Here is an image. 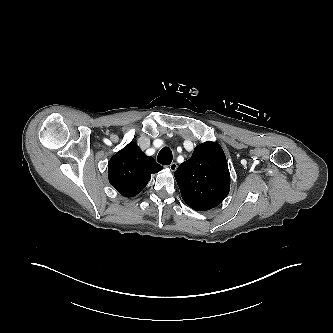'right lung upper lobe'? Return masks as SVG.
I'll return each instance as SVG.
<instances>
[{"mask_svg":"<svg viewBox=\"0 0 333 333\" xmlns=\"http://www.w3.org/2000/svg\"><path fill=\"white\" fill-rule=\"evenodd\" d=\"M162 169L135 142H130L110 159L109 182L123 196L133 197L145 188L152 173Z\"/></svg>","mask_w":333,"mask_h":333,"instance_id":"cb5924a9","label":"right lung upper lobe"}]
</instances>
